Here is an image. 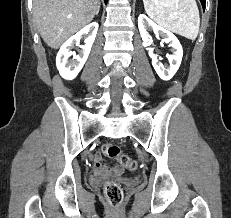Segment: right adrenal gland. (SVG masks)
Wrapping results in <instances>:
<instances>
[{"label": "right adrenal gland", "instance_id": "1", "mask_svg": "<svg viewBox=\"0 0 231 218\" xmlns=\"http://www.w3.org/2000/svg\"><path fill=\"white\" fill-rule=\"evenodd\" d=\"M98 13H99V9H98V11L96 12V15H98Z\"/></svg>", "mask_w": 231, "mask_h": 218}]
</instances>
